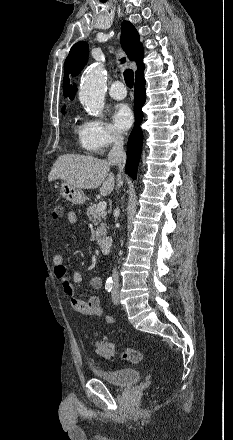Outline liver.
<instances>
[{
	"label": "liver",
	"instance_id": "6515ba94",
	"mask_svg": "<svg viewBox=\"0 0 233 440\" xmlns=\"http://www.w3.org/2000/svg\"><path fill=\"white\" fill-rule=\"evenodd\" d=\"M110 163L92 156L65 154L58 157L49 173L48 181L62 179L79 189H96L106 196L115 186L114 175L108 174ZM119 179V177H118Z\"/></svg>",
	"mask_w": 233,
	"mask_h": 440
}]
</instances>
